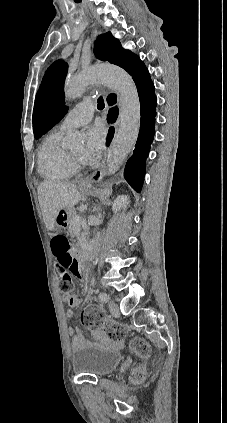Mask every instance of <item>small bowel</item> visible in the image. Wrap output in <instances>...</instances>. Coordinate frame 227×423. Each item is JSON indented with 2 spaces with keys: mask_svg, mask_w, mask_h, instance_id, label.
<instances>
[{
  "mask_svg": "<svg viewBox=\"0 0 227 423\" xmlns=\"http://www.w3.org/2000/svg\"><path fill=\"white\" fill-rule=\"evenodd\" d=\"M62 299L69 306L68 309L66 310V316L68 318H72L73 317L72 308L79 306L80 299L77 296L71 295V294H63ZM69 333L72 336V346L74 349L81 348L85 345L86 342L79 330H74L73 328H69ZM92 335L97 340L106 341V337L101 331H94Z\"/></svg>",
  "mask_w": 227,
  "mask_h": 423,
  "instance_id": "obj_1",
  "label": "small bowel"
}]
</instances>
